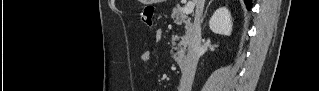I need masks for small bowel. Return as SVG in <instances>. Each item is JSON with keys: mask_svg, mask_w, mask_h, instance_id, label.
Returning a JSON list of instances; mask_svg holds the SVG:
<instances>
[{"mask_svg": "<svg viewBox=\"0 0 319 91\" xmlns=\"http://www.w3.org/2000/svg\"><path fill=\"white\" fill-rule=\"evenodd\" d=\"M157 36H160L159 34ZM141 60L143 62H149L151 60V52L150 51H144L141 55Z\"/></svg>", "mask_w": 319, "mask_h": 91, "instance_id": "c3829d8e", "label": "small bowel"}]
</instances>
